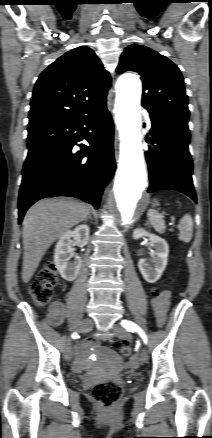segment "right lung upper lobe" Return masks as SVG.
<instances>
[{
	"mask_svg": "<svg viewBox=\"0 0 212 438\" xmlns=\"http://www.w3.org/2000/svg\"><path fill=\"white\" fill-rule=\"evenodd\" d=\"M110 74L89 47L68 51L39 76L31 100L29 126L77 119L106 106Z\"/></svg>",
	"mask_w": 212,
	"mask_h": 438,
	"instance_id": "cb5924a9",
	"label": "right lung upper lobe"
}]
</instances>
